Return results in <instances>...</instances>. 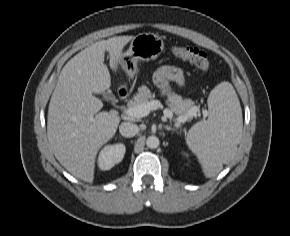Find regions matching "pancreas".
<instances>
[{"label": "pancreas", "mask_w": 290, "mask_h": 236, "mask_svg": "<svg viewBox=\"0 0 290 236\" xmlns=\"http://www.w3.org/2000/svg\"><path fill=\"white\" fill-rule=\"evenodd\" d=\"M153 98L154 94L151 93L147 86L143 85L138 88L136 95H134L133 99L128 102V107L131 108L143 103L150 102V100ZM166 102L171 112L176 115L187 116L188 120H191L193 116H195L189 114L191 109L196 108V106H194V102L191 99H183L180 95L172 93L169 95Z\"/></svg>", "instance_id": "pancreas-1"}]
</instances>
